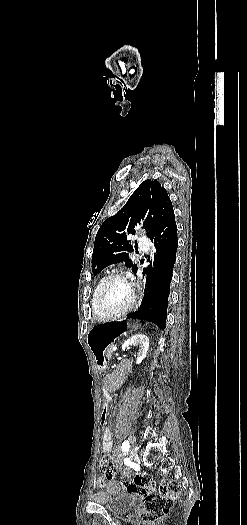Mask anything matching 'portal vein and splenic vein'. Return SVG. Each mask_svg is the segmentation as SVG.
I'll return each instance as SVG.
<instances>
[{"mask_svg":"<svg viewBox=\"0 0 247 525\" xmlns=\"http://www.w3.org/2000/svg\"><path fill=\"white\" fill-rule=\"evenodd\" d=\"M112 350H116V347H112Z\"/></svg>","mask_w":247,"mask_h":525,"instance_id":"18ae733b","label":"portal vein and splenic vein"}]
</instances>
